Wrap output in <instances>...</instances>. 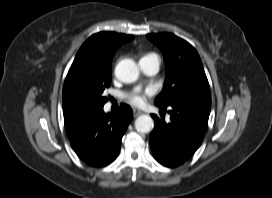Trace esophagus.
Returning a JSON list of instances; mask_svg holds the SVG:
<instances>
[{
	"mask_svg": "<svg viewBox=\"0 0 272 198\" xmlns=\"http://www.w3.org/2000/svg\"><path fill=\"white\" fill-rule=\"evenodd\" d=\"M133 113H134V117H138L141 114H143V112L139 109L133 108Z\"/></svg>",
	"mask_w": 272,
	"mask_h": 198,
	"instance_id": "1",
	"label": "esophagus"
}]
</instances>
